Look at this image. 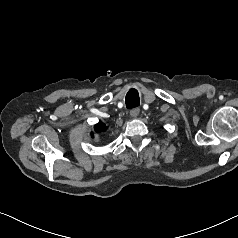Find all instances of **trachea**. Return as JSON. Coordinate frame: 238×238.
Returning a JSON list of instances; mask_svg holds the SVG:
<instances>
[{
  "label": "trachea",
  "mask_w": 238,
  "mask_h": 238,
  "mask_svg": "<svg viewBox=\"0 0 238 238\" xmlns=\"http://www.w3.org/2000/svg\"><path fill=\"white\" fill-rule=\"evenodd\" d=\"M126 107L131 109L133 107L139 106V95L138 92L134 89L130 90L126 95Z\"/></svg>",
  "instance_id": "trachea-1"
}]
</instances>
